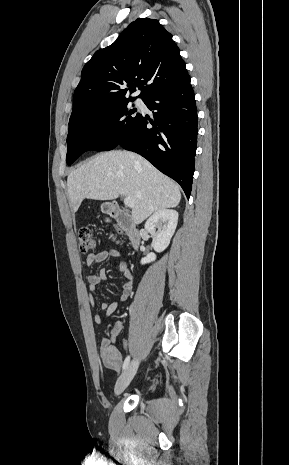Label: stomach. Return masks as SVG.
I'll return each instance as SVG.
<instances>
[{
    "label": "stomach",
    "instance_id": "stomach-1",
    "mask_svg": "<svg viewBox=\"0 0 289 465\" xmlns=\"http://www.w3.org/2000/svg\"><path fill=\"white\" fill-rule=\"evenodd\" d=\"M105 206H106L105 204H104V205H102V209H104V208H105Z\"/></svg>",
    "mask_w": 289,
    "mask_h": 465
}]
</instances>
